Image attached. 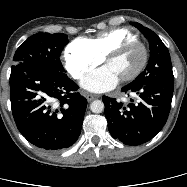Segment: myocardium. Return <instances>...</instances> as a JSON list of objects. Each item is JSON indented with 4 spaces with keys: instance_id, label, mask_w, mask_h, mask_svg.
<instances>
[{
    "instance_id": "obj_1",
    "label": "myocardium",
    "mask_w": 187,
    "mask_h": 187,
    "mask_svg": "<svg viewBox=\"0 0 187 187\" xmlns=\"http://www.w3.org/2000/svg\"><path fill=\"white\" fill-rule=\"evenodd\" d=\"M134 46H139L142 48L143 50V58L142 61L140 63V65L138 66V68L132 72L130 75L124 77L121 79L122 82H130L133 81L134 79H136L146 68L148 60H149V51L148 48L146 46V44L144 42H142L139 39L136 40H129V41H125L121 44H119L118 46H116L115 48L111 49L105 56H104V61L107 63V61L111 58H115V57H119L120 55H122L126 50H128L131 47Z\"/></svg>"
}]
</instances>
